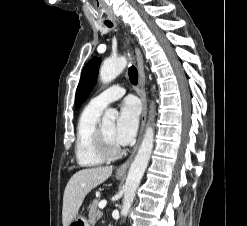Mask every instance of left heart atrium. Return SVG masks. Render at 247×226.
I'll return each instance as SVG.
<instances>
[{
  "instance_id": "left-heart-atrium-1",
  "label": "left heart atrium",
  "mask_w": 247,
  "mask_h": 226,
  "mask_svg": "<svg viewBox=\"0 0 247 226\" xmlns=\"http://www.w3.org/2000/svg\"><path fill=\"white\" fill-rule=\"evenodd\" d=\"M140 105L134 98H127L120 106L114 128V139L119 146L129 144L135 137L139 124Z\"/></svg>"
}]
</instances>
